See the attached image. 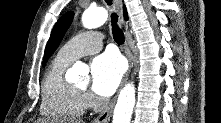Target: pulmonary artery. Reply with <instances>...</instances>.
<instances>
[{
    "mask_svg": "<svg viewBox=\"0 0 221 123\" xmlns=\"http://www.w3.org/2000/svg\"><path fill=\"white\" fill-rule=\"evenodd\" d=\"M102 45L100 33L87 31L69 40L60 48L57 56L66 61L73 62L79 57L98 52Z\"/></svg>",
    "mask_w": 221,
    "mask_h": 123,
    "instance_id": "1",
    "label": "pulmonary artery"
}]
</instances>
